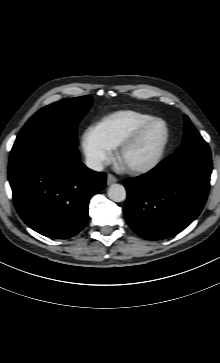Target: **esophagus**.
<instances>
[{
	"label": "esophagus",
	"mask_w": 220,
	"mask_h": 363,
	"mask_svg": "<svg viewBox=\"0 0 220 363\" xmlns=\"http://www.w3.org/2000/svg\"><path fill=\"white\" fill-rule=\"evenodd\" d=\"M117 182V178L113 176L112 174L107 175V185H111L113 183Z\"/></svg>",
	"instance_id": "obj_1"
}]
</instances>
